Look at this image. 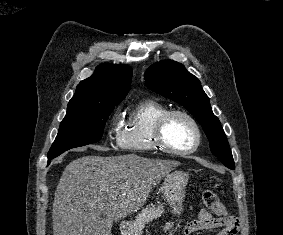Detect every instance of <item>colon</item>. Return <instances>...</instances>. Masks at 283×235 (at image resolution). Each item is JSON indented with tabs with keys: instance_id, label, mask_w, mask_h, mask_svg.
Masks as SVG:
<instances>
[{
	"instance_id": "5ec220e1",
	"label": "colon",
	"mask_w": 283,
	"mask_h": 235,
	"mask_svg": "<svg viewBox=\"0 0 283 235\" xmlns=\"http://www.w3.org/2000/svg\"><path fill=\"white\" fill-rule=\"evenodd\" d=\"M202 199L205 206L212 212L219 216H226L227 210L225 206L219 200L217 194L212 190H205L202 193Z\"/></svg>"
}]
</instances>
